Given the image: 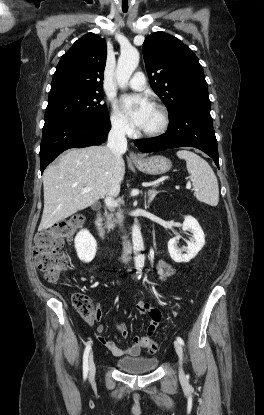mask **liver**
<instances>
[{
    "label": "liver",
    "mask_w": 264,
    "mask_h": 415,
    "mask_svg": "<svg viewBox=\"0 0 264 415\" xmlns=\"http://www.w3.org/2000/svg\"><path fill=\"white\" fill-rule=\"evenodd\" d=\"M115 168L121 183L125 174L124 160L116 165L106 146L71 149L64 153L57 164L44 171V210L38 230H46L109 196ZM88 187L91 191L84 193L83 189Z\"/></svg>",
    "instance_id": "obj_1"
}]
</instances>
